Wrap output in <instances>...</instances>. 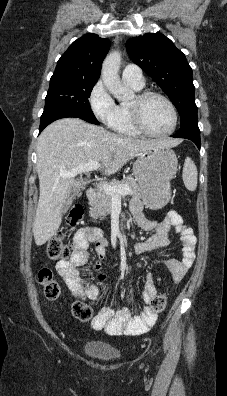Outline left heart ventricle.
Instances as JSON below:
<instances>
[{
	"label": "left heart ventricle",
	"mask_w": 227,
	"mask_h": 396,
	"mask_svg": "<svg viewBox=\"0 0 227 396\" xmlns=\"http://www.w3.org/2000/svg\"><path fill=\"white\" fill-rule=\"evenodd\" d=\"M142 118L149 130L158 133L168 131L173 122L168 105L157 96H151L144 101L142 104Z\"/></svg>",
	"instance_id": "1"
}]
</instances>
